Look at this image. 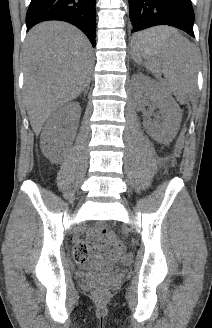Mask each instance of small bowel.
Instances as JSON below:
<instances>
[{
  "mask_svg": "<svg viewBox=\"0 0 212 328\" xmlns=\"http://www.w3.org/2000/svg\"><path fill=\"white\" fill-rule=\"evenodd\" d=\"M76 250L81 252L85 259L91 254L96 253L106 265L116 263L119 259L120 251L114 249L112 246L104 245L99 237L96 229H91L89 232V240L87 242H80ZM75 250V251H76Z\"/></svg>",
  "mask_w": 212,
  "mask_h": 328,
  "instance_id": "obj_1",
  "label": "small bowel"
}]
</instances>
